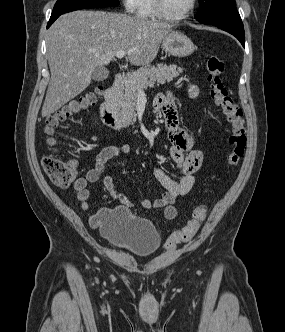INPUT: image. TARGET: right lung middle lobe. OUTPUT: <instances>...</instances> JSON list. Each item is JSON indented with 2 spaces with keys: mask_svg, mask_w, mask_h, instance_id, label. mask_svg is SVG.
Returning a JSON list of instances; mask_svg holds the SVG:
<instances>
[{
  "mask_svg": "<svg viewBox=\"0 0 285 332\" xmlns=\"http://www.w3.org/2000/svg\"><path fill=\"white\" fill-rule=\"evenodd\" d=\"M119 0H58L53 8L52 14H63L66 12L106 6H118Z\"/></svg>",
  "mask_w": 285,
  "mask_h": 332,
  "instance_id": "dd1d6c3e",
  "label": "right lung middle lobe"
}]
</instances>
